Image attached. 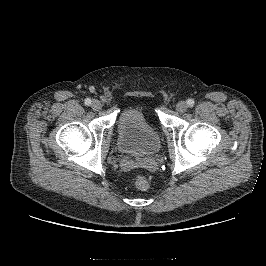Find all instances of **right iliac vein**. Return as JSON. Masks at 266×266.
I'll use <instances>...</instances> for the list:
<instances>
[{
  "instance_id": "63e3f726",
  "label": "right iliac vein",
  "mask_w": 266,
  "mask_h": 266,
  "mask_svg": "<svg viewBox=\"0 0 266 266\" xmlns=\"http://www.w3.org/2000/svg\"><path fill=\"white\" fill-rule=\"evenodd\" d=\"M91 107H92L93 110L99 111L102 108V104L98 100H93L92 103H91Z\"/></svg>"
}]
</instances>
